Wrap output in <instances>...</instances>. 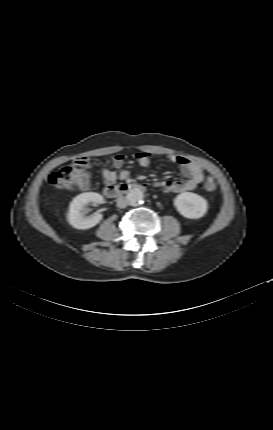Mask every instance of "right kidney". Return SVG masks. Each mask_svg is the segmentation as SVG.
Here are the masks:
<instances>
[{
	"label": "right kidney",
	"instance_id": "1",
	"mask_svg": "<svg viewBox=\"0 0 273 430\" xmlns=\"http://www.w3.org/2000/svg\"><path fill=\"white\" fill-rule=\"evenodd\" d=\"M88 203H104L103 197L94 192L82 193L76 196L69 206L67 215L69 223L76 229H89L96 226L102 220V214L96 213L91 217H85Z\"/></svg>",
	"mask_w": 273,
	"mask_h": 430
}]
</instances>
